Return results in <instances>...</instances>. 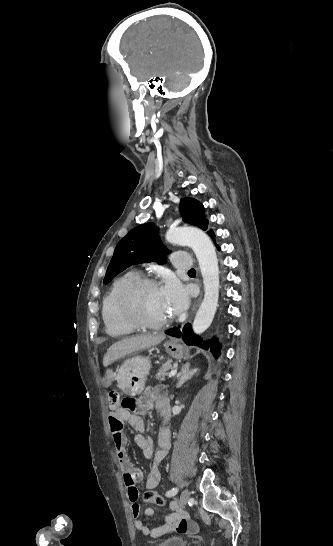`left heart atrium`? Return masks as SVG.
I'll list each match as a JSON object with an SVG mask.
<instances>
[{
    "mask_svg": "<svg viewBox=\"0 0 333 546\" xmlns=\"http://www.w3.org/2000/svg\"><path fill=\"white\" fill-rule=\"evenodd\" d=\"M160 291L170 315L179 314L187 307L188 296L186 290L175 277L168 275Z\"/></svg>",
    "mask_w": 333,
    "mask_h": 546,
    "instance_id": "left-heart-atrium-1",
    "label": "left heart atrium"
}]
</instances>
